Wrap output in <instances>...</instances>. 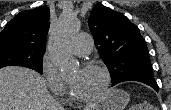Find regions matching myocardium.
<instances>
[{"instance_id": "1", "label": "myocardium", "mask_w": 171, "mask_h": 110, "mask_svg": "<svg viewBox=\"0 0 171 110\" xmlns=\"http://www.w3.org/2000/svg\"><path fill=\"white\" fill-rule=\"evenodd\" d=\"M82 69H97V70H99L103 75V79H104L103 86H102L101 90L93 96L80 97L75 94V92L73 91V89L70 85V97L73 101H75L77 103H81V104H89V103L96 102V101L100 100L101 98H103L105 96V94L107 93V91L111 85V73L105 65H103L101 63H97V62H87L83 65Z\"/></svg>"}]
</instances>
